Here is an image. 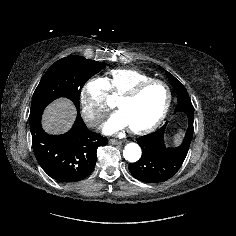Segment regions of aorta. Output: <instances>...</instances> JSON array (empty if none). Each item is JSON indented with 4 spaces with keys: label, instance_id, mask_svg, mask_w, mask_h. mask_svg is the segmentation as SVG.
Masks as SVG:
<instances>
[{
    "label": "aorta",
    "instance_id": "obj_1",
    "mask_svg": "<svg viewBox=\"0 0 236 236\" xmlns=\"http://www.w3.org/2000/svg\"><path fill=\"white\" fill-rule=\"evenodd\" d=\"M124 158L129 162H136L141 157V148L138 144L128 143L123 150Z\"/></svg>",
    "mask_w": 236,
    "mask_h": 236
}]
</instances>
